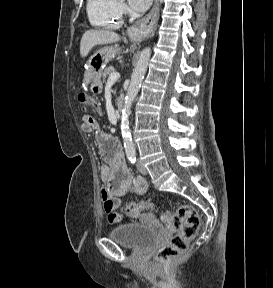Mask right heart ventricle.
<instances>
[{
  "instance_id": "obj_1",
  "label": "right heart ventricle",
  "mask_w": 273,
  "mask_h": 288,
  "mask_svg": "<svg viewBox=\"0 0 273 288\" xmlns=\"http://www.w3.org/2000/svg\"><path fill=\"white\" fill-rule=\"evenodd\" d=\"M87 15L93 26L104 29H117L123 21L117 0H87Z\"/></svg>"
}]
</instances>
